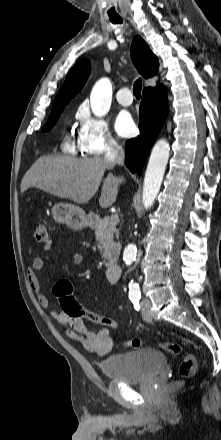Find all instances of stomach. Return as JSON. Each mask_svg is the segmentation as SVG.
Wrapping results in <instances>:
<instances>
[{
  "label": "stomach",
  "instance_id": "0dacf381",
  "mask_svg": "<svg viewBox=\"0 0 221 440\" xmlns=\"http://www.w3.org/2000/svg\"><path fill=\"white\" fill-rule=\"evenodd\" d=\"M51 214L56 222L66 224L73 230H82L92 222L82 208L70 203H56Z\"/></svg>",
  "mask_w": 221,
  "mask_h": 440
}]
</instances>
